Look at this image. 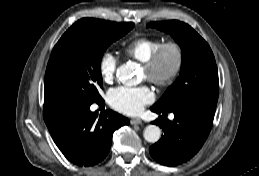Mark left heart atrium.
<instances>
[{
	"instance_id": "obj_1",
	"label": "left heart atrium",
	"mask_w": 259,
	"mask_h": 176,
	"mask_svg": "<svg viewBox=\"0 0 259 176\" xmlns=\"http://www.w3.org/2000/svg\"><path fill=\"white\" fill-rule=\"evenodd\" d=\"M154 100L152 90L146 86L127 87L119 86L108 93L110 106L118 112L126 115H137L144 107Z\"/></svg>"
}]
</instances>
